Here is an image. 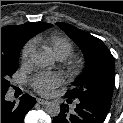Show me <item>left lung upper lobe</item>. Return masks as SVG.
<instances>
[{
    "mask_svg": "<svg viewBox=\"0 0 123 123\" xmlns=\"http://www.w3.org/2000/svg\"><path fill=\"white\" fill-rule=\"evenodd\" d=\"M77 43L85 56V69L66 93L71 99H89L111 106L115 85L114 57L100 39L70 24L57 23Z\"/></svg>",
    "mask_w": 123,
    "mask_h": 123,
    "instance_id": "obj_1",
    "label": "left lung upper lobe"
}]
</instances>
